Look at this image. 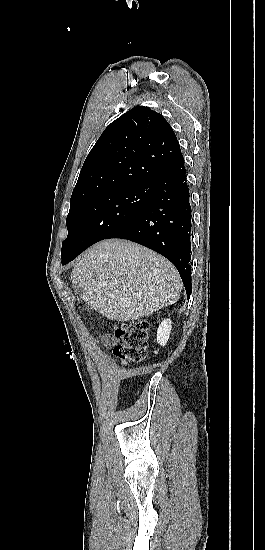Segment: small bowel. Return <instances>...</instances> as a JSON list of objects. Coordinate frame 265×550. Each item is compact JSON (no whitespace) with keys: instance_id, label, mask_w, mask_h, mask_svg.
Returning a JSON list of instances; mask_svg holds the SVG:
<instances>
[{"instance_id":"obj_1","label":"small bowel","mask_w":265,"mask_h":550,"mask_svg":"<svg viewBox=\"0 0 265 550\" xmlns=\"http://www.w3.org/2000/svg\"><path fill=\"white\" fill-rule=\"evenodd\" d=\"M102 342L105 343V344H112L114 343V339H112L111 337L109 336H105L102 338Z\"/></svg>"}]
</instances>
